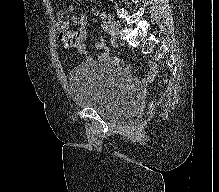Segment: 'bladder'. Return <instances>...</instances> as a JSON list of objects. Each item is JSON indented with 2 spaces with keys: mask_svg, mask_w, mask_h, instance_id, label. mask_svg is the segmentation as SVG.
I'll return each mask as SVG.
<instances>
[{
  "mask_svg": "<svg viewBox=\"0 0 219 192\" xmlns=\"http://www.w3.org/2000/svg\"><path fill=\"white\" fill-rule=\"evenodd\" d=\"M72 101L101 116L123 122L141 108V93L129 77L110 63L86 62L73 67L67 77Z\"/></svg>",
  "mask_w": 219,
  "mask_h": 192,
  "instance_id": "obj_1",
  "label": "bladder"
}]
</instances>
